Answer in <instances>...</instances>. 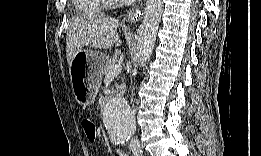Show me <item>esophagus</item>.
<instances>
[{
  "instance_id": "1",
  "label": "esophagus",
  "mask_w": 261,
  "mask_h": 156,
  "mask_svg": "<svg viewBox=\"0 0 261 156\" xmlns=\"http://www.w3.org/2000/svg\"><path fill=\"white\" fill-rule=\"evenodd\" d=\"M140 16H141V10L139 8L131 9L129 11V19L131 21L137 20V18Z\"/></svg>"
}]
</instances>
